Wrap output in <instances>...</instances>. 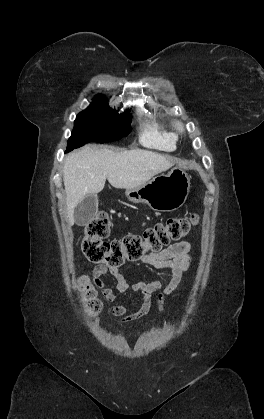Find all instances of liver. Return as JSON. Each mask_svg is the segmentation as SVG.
Instances as JSON below:
<instances>
[{
	"label": "liver",
	"instance_id": "liver-1",
	"mask_svg": "<svg viewBox=\"0 0 264 419\" xmlns=\"http://www.w3.org/2000/svg\"><path fill=\"white\" fill-rule=\"evenodd\" d=\"M173 164L171 157L141 149L114 152L88 145L70 153L63 167L69 224H74L76 206L87 195L102 191L106 179L115 188H136Z\"/></svg>",
	"mask_w": 264,
	"mask_h": 419
}]
</instances>
